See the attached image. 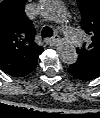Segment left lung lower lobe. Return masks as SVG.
<instances>
[{
    "label": "left lung lower lobe",
    "instance_id": "obj_1",
    "mask_svg": "<svg viewBox=\"0 0 100 118\" xmlns=\"http://www.w3.org/2000/svg\"><path fill=\"white\" fill-rule=\"evenodd\" d=\"M68 72L78 80L89 81L100 75V69L85 63L78 59L74 64L70 65Z\"/></svg>",
    "mask_w": 100,
    "mask_h": 118
}]
</instances>
